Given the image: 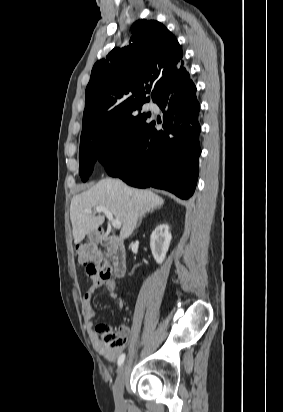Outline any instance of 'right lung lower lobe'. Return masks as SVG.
<instances>
[{
	"label": "right lung lower lobe",
	"instance_id": "right-lung-lower-lobe-1",
	"mask_svg": "<svg viewBox=\"0 0 283 412\" xmlns=\"http://www.w3.org/2000/svg\"><path fill=\"white\" fill-rule=\"evenodd\" d=\"M155 103L163 111L164 129L148 122L127 154L105 165L106 170L131 186H152L188 199L196 187L201 154L196 87L190 77L171 83Z\"/></svg>",
	"mask_w": 283,
	"mask_h": 412
}]
</instances>
